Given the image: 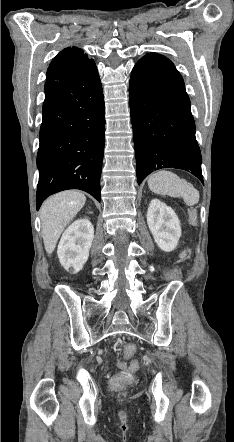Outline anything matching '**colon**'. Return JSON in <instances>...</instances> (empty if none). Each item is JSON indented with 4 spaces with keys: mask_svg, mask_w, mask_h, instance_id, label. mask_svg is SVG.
I'll use <instances>...</instances> for the list:
<instances>
[{
    "mask_svg": "<svg viewBox=\"0 0 234 442\" xmlns=\"http://www.w3.org/2000/svg\"><path fill=\"white\" fill-rule=\"evenodd\" d=\"M189 217L192 224L197 223L196 210L194 209L191 210L189 213ZM184 266L186 268H189L191 266V263L189 261H186L184 263ZM124 353L127 358L132 357L136 353V346L132 343L127 344L124 348ZM118 366L123 370L133 372L138 368V359H133V362H131L129 365H127L124 362H119ZM129 372L118 374L113 378V380H110L109 382L110 389H127L130 383L131 384L136 383L137 381L136 376L131 375V373Z\"/></svg>",
    "mask_w": 234,
    "mask_h": 442,
    "instance_id": "colon-1",
    "label": "colon"
}]
</instances>
